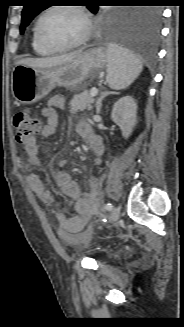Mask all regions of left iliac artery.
I'll use <instances>...</instances> for the list:
<instances>
[{
    "label": "left iliac artery",
    "instance_id": "left-iliac-artery-1",
    "mask_svg": "<svg viewBox=\"0 0 184 327\" xmlns=\"http://www.w3.org/2000/svg\"><path fill=\"white\" fill-rule=\"evenodd\" d=\"M112 208H113V205H112L111 203L108 202V203L105 204V209H106V210L111 211Z\"/></svg>",
    "mask_w": 184,
    "mask_h": 327
}]
</instances>
